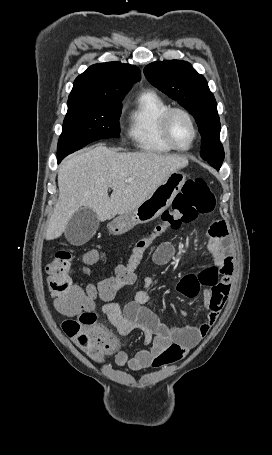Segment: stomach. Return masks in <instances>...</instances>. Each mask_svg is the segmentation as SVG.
<instances>
[{
    "instance_id": "obj_1",
    "label": "stomach",
    "mask_w": 272,
    "mask_h": 455,
    "mask_svg": "<svg viewBox=\"0 0 272 455\" xmlns=\"http://www.w3.org/2000/svg\"><path fill=\"white\" fill-rule=\"evenodd\" d=\"M185 181L186 175L181 171L170 174L142 204L115 218L109 225L111 233L122 235L137 224L156 219L171 205Z\"/></svg>"
}]
</instances>
